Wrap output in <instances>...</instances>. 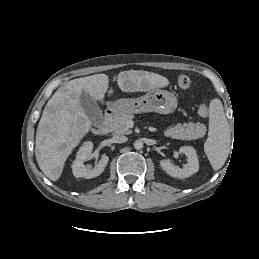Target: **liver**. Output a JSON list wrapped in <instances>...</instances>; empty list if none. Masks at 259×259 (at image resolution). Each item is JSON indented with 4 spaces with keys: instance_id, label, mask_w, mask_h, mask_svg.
Wrapping results in <instances>:
<instances>
[{
    "instance_id": "obj_1",
    "label": "liver",
    "mask_w": 259,
    "mask_h": 259,
    "mask_svg": "<svg viewBox=\"0 0 259 259\" xmlns=\"http://www.w3.org/2000/svg\"><path fill=\"white\" fill-rule=\"evenodd\" d=\"M117 84L126 93L147 92L168 86L169 80L152 72L129 70L118 74ZM108 88L106 74L77 78L58 88L47 102L37 127L35 156L50 180L60 178L66 159L91 128V121L80 103L82 91L96 101H103L106 92L113 93Z\"/></svg>"
}]
</instances>
